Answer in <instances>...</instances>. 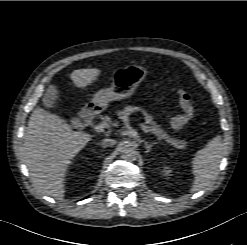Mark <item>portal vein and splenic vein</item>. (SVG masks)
Returning a JSON list of instances; mask_svg holds the SVG:
<instances>
[{"mask_svg":"<svg viewBox=\"0 0 247 245\" xmlns=\"http://www.w3.org/2000/svg\"><path fill=\"white\" fill-rule=\"evenodd\" d=\"M140 127L146 134H149V130L145 125L140 124ZM104 129H105L104 124H98L94 127L95 132H103Z\"/></svg>","mask_w":247,"mask_h":245,"instance_id":"1","label":"portal vein and splenic vein"}]
</instances>
